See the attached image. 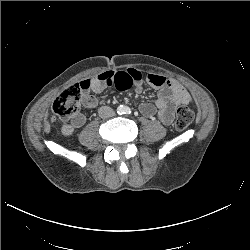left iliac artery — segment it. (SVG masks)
<instances>
[{
	"instance_id": "left-iliac-artery-1",
	"label": "left iliac artery",
	"mask_w": 250,
	"mask_h": 250,
	"mask_svg": "<svg viewBox=\"0 0 250 250\" xmlns=\"http://www.w3.org/2000/svg\"><path fill=\"white\" fill-rule=\"evenodd\" d=\"M124 113L127 115L131 114V109L129 107H126Z\"/></svg>"
}]
</instances>
